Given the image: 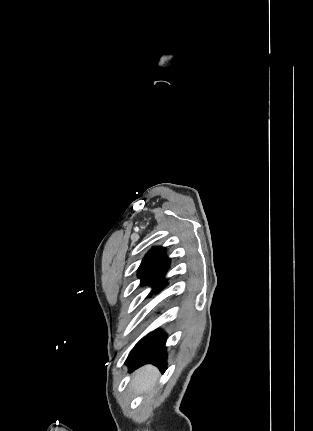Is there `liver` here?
Masks as SVG:
<instances>
[{
  "mask_svg": "<svg viewBox=\"0 0 313 431\" xmlns=\"http://www.w3.org/2000/svg\"><path fill=\"white\" fill-rule=\"evenodd\" d=\"M158 377V369L154 366L147 365L134 373L130 386L138 394L144 392L151 393Z\"/></svg>",
  "mask_w": 313,
  "mask_h": 431,
  "instance_id": "liver-1",
  "label": "liver"
}]
</instances>
